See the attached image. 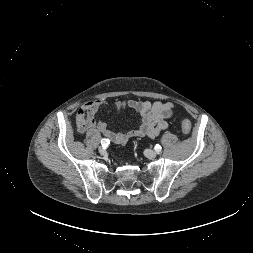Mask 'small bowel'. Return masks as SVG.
<instances>
[{
	"label": "small bowel",
	"instance_id": "1",
	"mask_svg": "<svg viewBox=\"0 0 253 253\" xmlns=\"http://www.w3.org/2000/svg\"><path fill=\"white\" fill-rule=\"evenodd\" d=\"M106 102L101 99L84 103L76 114V126L79 133L96 129L117 145H124L132 137H156L168 128L167 119L172 116L173 104L162 101L125 100L115 103L118 113L125 109H133L140 114L139 125L127 132L111 131L106 123L98 121L95 114Z\"/></svg>",
	"mask_w": 253,
	"mask_h": 253
}]
</instances>
